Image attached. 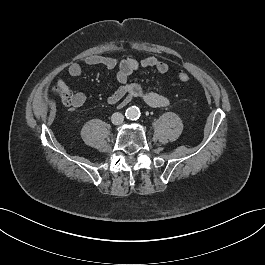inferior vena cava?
Instances as JSON below:
<instances>
[{"label": "inferior vena cava", "mask_w": 265, "mask_h": 265, "mask_svg": "<svg viewBox=\"0 0 265 265\" xmlns=\"http://www.w3.org/2000/svg\"><path fill=\"white\" fill-rule=\"evenodd\" d=\"M111 121L114 125H120L124 121V116L119 112L113 113L111 116Z\"/></svg>", "instance_id": "1"}]
</instances>
